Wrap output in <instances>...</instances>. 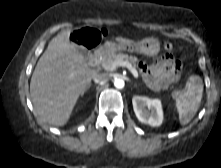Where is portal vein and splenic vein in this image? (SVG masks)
Instances as JSON below:
<instances>
[{
  "label": "portal vein and splenic vein",
  "mask_w": 221,
  "mask_h": 168,
  "mask_svg": "<svg viewBox=\"0 0 221 168\" xmlns=\"http://www.w3.org/2000/svg\"><path fill=\"white\" fill-rule=\"evenodd\" d=\"M118 66L126 67L133 74V76L135 78H138L137 71L133 68V66L129 62H127V61H120V60L115 61L113 63V65H112V67L110 68V70H112V69H114V68H116ZM106 70H107V68H106Z\"/></svg>",
  "instance_id": "portal-vein-and-splenic-vein-1"
}]
</instances>
